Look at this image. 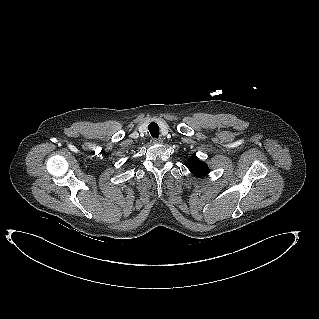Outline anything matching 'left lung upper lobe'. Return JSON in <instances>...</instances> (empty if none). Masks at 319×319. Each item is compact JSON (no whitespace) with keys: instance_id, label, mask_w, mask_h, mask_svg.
I'll use <instances>...</instances> for the list:
<instances>
[{"instance_id":"left-lung-upper-lobe-1","label":"left lung upper lobe","mask_w":319,"mask_h":319,"mask_svg":"<svg viewBox=\"0 0 319 319\" xmlns=\"http://www.w3.org/2000/svg\"><path fill=\"white\" fill-rule=\"evenodd\" d=\"M186 167L196 176H204L209 172L208 166L200 161L195 155L188 158Z\"/></svg>"}]
</instances>
